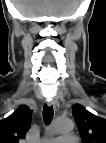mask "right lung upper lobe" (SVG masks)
Here are the masks:
<instances>
[{"mask_svg": "<svg viewBox=\"0 0 106 143\" xmlns=\"http://www.w3.org/2000/svg\"><path fill=\"white\" fill-rule=\"evenodd\" d=\"M31 110L20 106L10 116L0 121V143H19L25 138L31 124Z\"/></svg>", "mask_w": 106, "mask_h": 143, "instance_id": "right-lung-upper-lobe-1", "label": "right lung upper lobe"}]
</instances>
